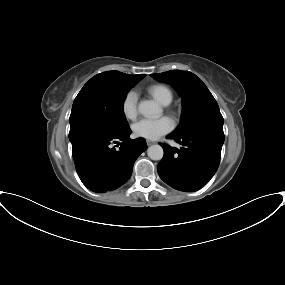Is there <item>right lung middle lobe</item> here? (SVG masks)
Listing matches in <instances>:
<instances>
[{
	"label": "right lung middle lobe",
	"instance_id": "1",
	"mask_svg": "<svg viewBox=\"0 0 285 285\" xmlns=\"http://www.w3.org/2000/svg\"><path fill=\"white\" fill-rule=\"evenodd\" d=\"M133 83L85 84L74 100L69 139L88 131L120 134L129 129L123 103Z\"/></svg>",
	"mask_w": 285,
	"mask_h": 285
}]
</instances>
